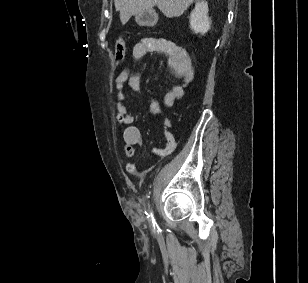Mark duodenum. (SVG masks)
<instances>
[{"instance_id": "410a0bca", "label": "duodenum", "mask_w": 308, "mask_h": 283, "mask_svg": "<svg viewBox=\"0 0 308 283\" xmlns=\"http://www.w3.org/2000/svg\"><path fill=\"white\" fill-rule=\"evenodd\" d=\"M155 17L153 15L146 17V23L147 24H154L155 23Z\"/></svg>"}]
</instances>
